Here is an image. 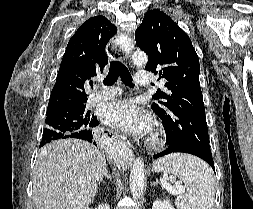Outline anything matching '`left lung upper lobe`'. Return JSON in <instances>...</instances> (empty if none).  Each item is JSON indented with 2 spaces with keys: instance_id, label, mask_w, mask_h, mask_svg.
Instances as JSON below:
<instances>
[{
  "instance_id": "left-lung-upper-lobe-1",
  "label": "left lung upper lobe",
  "mask_w": 253,
  "mask_h": 209,
  "mask_svg": "<svg viewBox=\"0 0 253 209\" xmlns=\"http://www.w3.org/2000/svg\"><path fill=\"white\" fill-rule=\"evenodd\" d=\"M135 40L148 55L145 69L166 80L165 91L157 90L153 99L158 102L151 108L164 124L169 146L211 153L199 58L188 35L168 15L154 9L145 14Z\"/></svg>"
}]
</instances>
